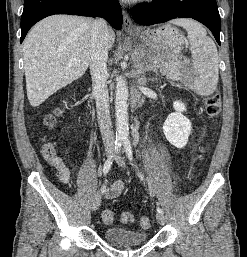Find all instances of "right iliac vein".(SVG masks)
<instances>
[{"label":"right iliac vein","mask_w":247,"mask_h":257,"mask_svg":"<svg viewBox=\"0 0 247 257\" xmlns=\"http://www.w3.org/2000/svg\"><path fill=\"white\" fill-rule=\"evenodd\" d=\"M111 153H112V151H111L110 149H108V150L106 151V154H107L108 157L111 156ZM100 201H101V194H100V193H96V194L93 196L92 201H91V209H92L93 211H96V210L98 209V207H99V205H100Z\"/></svg>","instance_id":"1"}]
</instances>
